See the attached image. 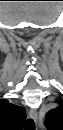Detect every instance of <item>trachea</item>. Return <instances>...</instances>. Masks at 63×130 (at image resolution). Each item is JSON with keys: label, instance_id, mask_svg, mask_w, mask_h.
Here are the masks:
<instances>
[{"label": "trachea", "instance_id": "1", "mask_svg": "<svg viewBox=\"0 0 63 130\" xmlns=\"http://www.w3.org/2000/svg\"><path fill=\"white\" fill-rule=\"evenodd\" d=\"M25 130H35V123H34L33 119L26 120Z\"/></svg>", "mask_w": 63, "mask_h": 130}]
</instances>
